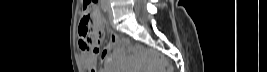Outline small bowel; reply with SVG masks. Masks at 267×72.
I'll use <instances>...</instances> for the list:
<instances>
[{
	"label": "small bowel",
	"instance_id": "1",
	"mask_svg": "<svg viewBox=\"0 0 267 72\" xmlns=\"http://www.w3.org/2000/svg\"><path fill=\"white\" fill-rule=\"evenodd\" d=\"M117 42H118V38L113 35L111 36L110 44L105 46L101 51L97 49L96 51H93V52L83 53L81 56V60L85 68H87L91 72H97L96 61L98 58L103 64L105 65L109 64V62L111 61L110 50L113 45L117 44ZM109 71L110 70H108V68L105 67L104 69H101L99 72H109Z\"/></svg>",
	"mask_w": 267,
	"mask_h": 72
}]
</instances>
